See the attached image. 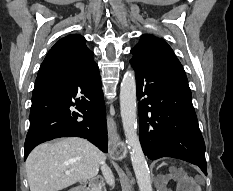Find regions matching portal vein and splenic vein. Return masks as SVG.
I'll list each match as a JSON object with an SVG mask.
<instances>
[{"label":"portal vein and splenic vein","mask_w":233,"mask_h":191,"mask_svg":"<svg viewBox=\"0 0 233 191\" xmlns=\"http://www.w3.org/2000/svg\"><path fill=\"white\" fill-rule=\"evenodd\" d=\"M65 174H66V175H69V174H70V171H66Z\"/></svg>","instance_id":"portal-vein-and-splenic-vein-1"}]
</instances>
